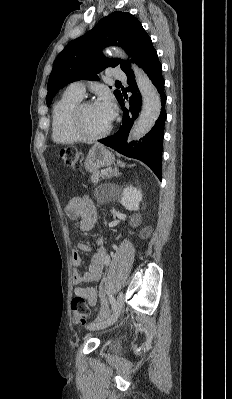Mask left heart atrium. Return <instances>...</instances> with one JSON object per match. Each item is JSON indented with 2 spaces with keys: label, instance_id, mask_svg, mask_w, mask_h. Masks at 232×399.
Returning a JSON list of instances; mask_svg holds the SVG:
<instances>
[{
  "label": "left heart atrium",
  "instance_id": "39dd6f15",
  "mask_svg": "<svg viewBox=\"0 0 232 399\" xmlns=\"http://www.w3.org/2000/svg\"><path fill=\"white\" fill-rule=\"evenodd\" d=\"M96 108L103 115L105 120L111 124L116 116L114 103L110 97H105L95 104Z\"/></svg>",
  "mask_w": 232,
  "mask_h": 399
}]
</instances>
